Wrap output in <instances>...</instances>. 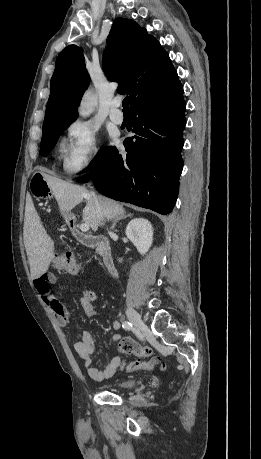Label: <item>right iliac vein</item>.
<instances>
[{"mask_svg":"<svg viewBox=\"0 0 261 459\" xmlns=\"http://www.w3.org/2000/svg\"><path fill=\"white\" fill-rule=\"evenodd\" d=\"M126 314L130 322L139 330L145 331L146 330V325L143 323L140 315L131 307H128L126 309Z\"/></svg>","mask_w":261,"mask_h":459,"instance_id":"63e3f726","label":"right iliac vein"}]
</instances>
